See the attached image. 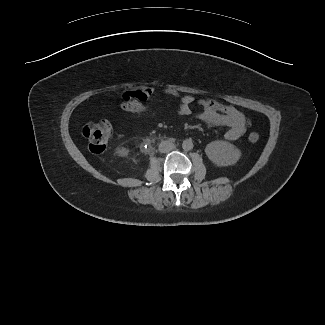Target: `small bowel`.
I'll return each mask as SVG.
<instances>
[{"mask_svg": "<svg viewBox=\"0 0 325 325\" xmlns=\"http://www.w3.org/2000/svg\"><path fill=\"white\" fill-rule=\"evenodd\" d=\"M158 92L151 87H143L121 94L116 99L119 108L129 110L131 113L143 114L151 111L148 100ZM162 94L172 96L178 101L177 114L181 117L189 116L192 113L194 98L189 94H182L175 88H168ZM200 111L196 118L206 126H226L228 130L225 138L229 141H236L243 136L247 129V120L244 114L236 107L224 105L214 99H202L198 101Z\"/></svg>", "mask_w": 325, "mask_h": 325, "instance_id": "c3829d8e", "label": "small bowel"}]
</instances>
